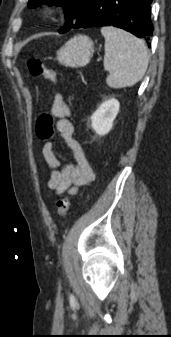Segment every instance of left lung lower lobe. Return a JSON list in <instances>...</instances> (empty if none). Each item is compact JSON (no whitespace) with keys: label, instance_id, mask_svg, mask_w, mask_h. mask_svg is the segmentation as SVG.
<instances>
[{"label":"left lung lower lobe","instance_id":"0a47b994","mask_svg":"<svg viewBox=\"0 0 171 337\" xmlns=\"http://www.w3.org/2000/svg\"><path fill=\"white\" fill-rule=\"evenodd\" d=\"M151 2L152 0H87L72 28L112 25L148 42L154 30L150 18Z\"/></svg>","mask_w":171,"mask_h":337}]
</instances>
